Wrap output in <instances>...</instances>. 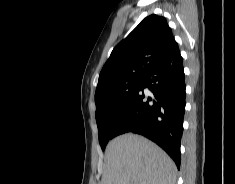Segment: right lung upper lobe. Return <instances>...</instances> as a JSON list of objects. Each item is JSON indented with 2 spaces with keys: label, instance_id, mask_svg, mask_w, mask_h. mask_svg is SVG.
I'll return each instance as SVG.
<instances>
[{
  "label": "right lung upper lobe",
  "instance_id": "cb5924a9",
  "mask_svg": "<svg viewBox=\"0 0 235 184\" xmlns=\"http://www.w3.org/2000/svg\"><path fill=\"white\" fill-rule=\"evenodd\" d=\"M179 50L164 17L152 14L112 51L99 75L95 92L96 107L107 102L111 88L144 79L158 64Z\"/></svg>",
  "mask_w": 235,
  "mask_h": 184
}]
</instances>
